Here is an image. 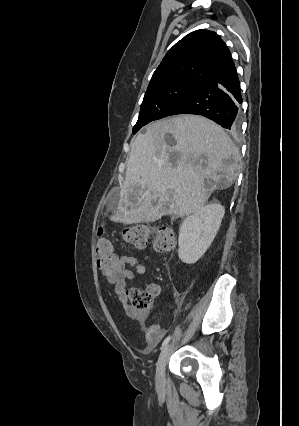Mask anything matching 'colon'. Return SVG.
Wrapping results in <instances>:
<instances>
[{"label": "colon", "instance_id": "colon-1", "mask_svg": "<svg viewBox=\"0 0 299 426\" xmlns=\"http://www.w3.org/2000/svg\"><path fill=\"white\" fill-rule=\"evenodd\" d=\"M153 234V248L157 253L166 254L174 251L176 246L173 231L168 227L149 228L132 226L123 230V240L135 248L142 249L148 243L149 235ZM96 253L98 265L108 274H116L122 270L112 242L104 236V230H97ZM132 307L138 313L147 312L154 306V296L150 291L131 290L129 292Z\"/></svg>", "mask_w": 299, "mask_h": 426}]
</instances>
